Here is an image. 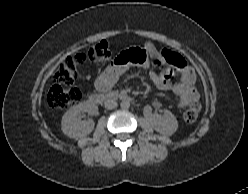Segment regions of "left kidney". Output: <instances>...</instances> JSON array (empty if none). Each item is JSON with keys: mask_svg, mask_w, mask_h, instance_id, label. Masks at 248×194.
I'll list each match as a JSON object with an SVG mask.
<instances>
[{"mask_svg": "<svg viewBox=\"0 0 248 194\" xmlns=\"http://www.w3.org/2000/svg\"><path fill=\"white\" fill-rule=\"evenodd\" d=\"M152 126L155 131L171 136L178 128V122L171 112L166 111L164 116H155Z\"/></svg>", "mask_w": 248, "mask_h": 194, "instance_id": "obj_1", "label": "left kidney"}]
</instances>
